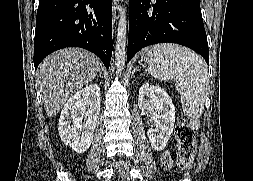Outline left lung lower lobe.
Wrapping results in <instances>:
<instances>
[{
	"instance_id": "obj_1",
	"label": "left lung lower lobe",
	"mask_w": 253,
	"mask_h": 181,
	"mask_svg": "<svg viewBox=\"0 0 253 181\" xmlns=\"http://www.w3.org/2000/svg\"><path fill=\"white\" fill-rule=\"evenodd\" d=\"M127 61L143 47L171 42L203 56L209 64L207 36L199 0H129Z\"/></svg>"
}]
</instances>
